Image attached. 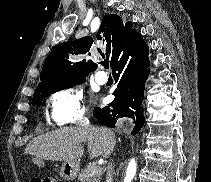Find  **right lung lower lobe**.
Returning <instances> with one entry per match:
<instances>
[{
    "label": "right lung lower lobe",
    "instance_id": "right-lung-lower-lobe-1",
    "mask_svg": "<svg viewBox=\"0 0 211 182\" xmlns=\"http://www.w3.org/2000/svg\"><path fill=\"white\" fill-rule=\"evenodd\" d=\"M148 51L149 47L139 33L118 51L112 66L115 82H118L113 92L115 99L107 107H95L93 111L102 125L113 128L117 118L129 117L135 122L133 135L143 127L142 101L150 73Z\"/></svg>",
    "mask_w": 211,
    "mask_h": 182
}]
</instances>
